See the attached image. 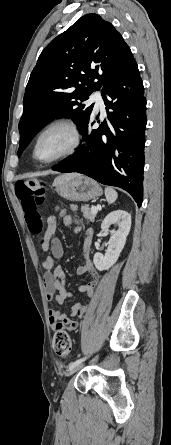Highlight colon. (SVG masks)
I'll list each match as a JSON object with an SVG mask.
<instances>
[{
	"instance_id": "colon-1",
	"label": "colon",
	"mask_w": 171,
	"mask_h": 445,
	"mask_svg": "<svg viewBox=\"0 0 171 445\" xmlns=\"http://www.w3.org/2000/svg\"><path fill=\"white\" fill-rule=\"evenodd\" d=\"M16 196L19 199L25 213V219L30 230L34 234H40L43 227V220L40 208L44 205L47 193V185L42 181L27 180L16 183ZM77 229L80 222L72 221ZM53 349L59 357H66L71 351L70 337L65 329H56L53 337Z\"/></svg>"
}]
</instances>
